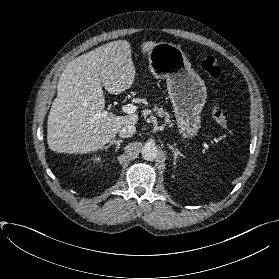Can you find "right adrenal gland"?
<instances>
[{
	"mask_svg": "<svg viewBox=\"0 0 279 279\" xmlns=\"http://www.w3.org/2000/svg\"><path fill=\"white\" fill-rule=\"evenodd\" d=\"M123 142V140H116V139H113L112 141H110V143L107 145V146H105L103 149H107V148H109L111 145H113V144H115L116 145V150H115V152H117L118 151V149L120 148V144Z\"/></svg>",
	"mask_w": 279,
	"mask_h": 279,
	"instance_id": "2a0ac1e0",
	"label": "right adrenal gland"
}]
</instances>
